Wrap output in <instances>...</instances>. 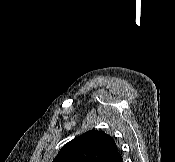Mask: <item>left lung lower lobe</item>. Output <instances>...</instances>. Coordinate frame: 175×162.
Returning a JSON list of instances; mask_svg holds the SVG:
<instances>
[{"instance_id": "left-lung-lower-lobe-1", "label": "left lung lower lobe", "mask_w": 175, "mask_h": 162, "mask_svg": "<svg viewBox=\"0 0 175 162\" xmlns=\"http://www.w3.org/2000/svg\"><path fill=\"white\" fill-rule=\"evenodd\" d=\"M105 162H122V157L120 153L115 150L111 155L106 159Z\"/></svg>"}]
</instances>
